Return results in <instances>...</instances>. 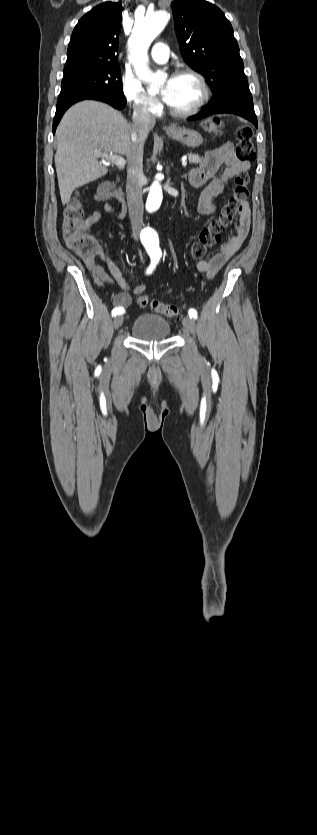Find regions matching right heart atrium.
<instances>
[{"label":"right heart atrium","instance_id":"1","mask_svg":"<svg viewBox=\"0 0 317 835\" xmlns=\"http://www.w3.org/2000/svg\"><path fill=\"white\" fill-rule=\"evenodd\" d=\"M121 90L124 98L135 112L146 116H154L159 113L161 109L159 101L148 94L140 81L132 74H123Z\"/></svg>","mask_w":317,"mask_h":835}]
</instances>
